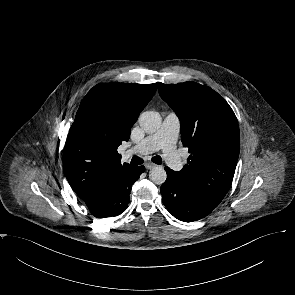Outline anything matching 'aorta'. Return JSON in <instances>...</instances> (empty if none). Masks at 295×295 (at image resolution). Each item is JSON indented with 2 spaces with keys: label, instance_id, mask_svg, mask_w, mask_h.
Masks as SVG:
<instances>
[{
  "label": "aorta",
  "instance_id": "aorta-1",
  "mask_svg": "<svg viewBox=\"0 0 295 295\" xmlns=\"http://www.w3.org/2000/svg\"><path fill=\"white\" fill-rule=\"evenodd\" d=\"M139 124L147 133L156 132L161 125V116L155 111H146L139 116ZM167 174L163 167L155 166L149 172V179L157 185H161L166 181Z\"/></svg>",
  "mask_w": 295,
  "mask_h": 295
}]
</instances>
